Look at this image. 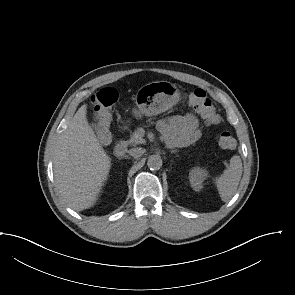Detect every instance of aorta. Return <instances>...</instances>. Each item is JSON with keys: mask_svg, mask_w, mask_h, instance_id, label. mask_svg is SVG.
I'll return each mask as SVG.
<instances>
[{"mask_svg": "<svg viewBox=\"0 0 295 295\" xmlns=\"http://www.w3.org/2000/svg\"><path fill=\"white\" fill-rule=\"evenodd\" d=\"M162 159L159 155H151L148 158L147 166L151 170H159L162 167Z\"/></svg>", "mask_w": 295, "mask_h": 295, "instance_id": "obj_1", "label": "aorta"}]
</instances>
